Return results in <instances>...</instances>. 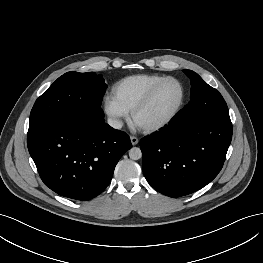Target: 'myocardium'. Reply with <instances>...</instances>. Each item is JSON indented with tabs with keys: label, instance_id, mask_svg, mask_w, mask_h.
Here are the masks:
<instances>
[{
	"label": "myocardium",
	"instance_id": "myocardium-1",
	"mask_svg": "<svg viewBox=\"0 0 263 263\" xmlns=\"http://www.w3.org/2000/svg\"><path fill=\"white\" fill-rule=\"evenodd\" d=\"M173 80L176 81L182 89V97L181 100L176 107V109L166 118L157 121L155 123L145 125V126H138V128L143 131L144 133H153L156 132L165 126H167L169 123H171L181 112L183 109L186 99H187V88L185 84L177 77L174 76H166L160 79L158 82H156L149 90L148 92L144 95V97L140 100L139 103H137L133 109L131 110L130 117L131 121L135 123V118L136 116L143 111L151 102L153 96L155 95L156 91L160 88V86L165 83L166 81ZM136 124V123H135Z\"/></svg>",
	"mask_w": 263,
	"mask_h": 263
}]
</instances>
